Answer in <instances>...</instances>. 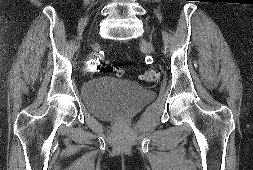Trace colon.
Here are the masks:
<instances>
[{
	"mask_svg": "<svg viewBox=\"0 0 253 170\" xmlns=\"http://www.w3.org/2000/svg\"><path fill=\"white\" fill-rule=\"evenodd\" d=\"M102 70L108 73H115L118 76H121L124 73V71L121 68L113 66V65H105L104 67H102ZM158 77H159V74L154 69L146 70L141 76V78L146 82H155L157 81Z\"/></svg>",
	"mask_w": 253,
	"mask_h": 170,
	"instance_id": "1",
	"label": "colon"
}]
</instances>
